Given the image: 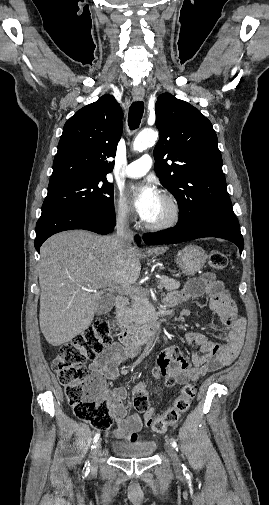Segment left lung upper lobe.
Here are the masks:
<instances>
[{
    "label": "left lung upper lobe",
    "mask_w": 269,
    "mask_h": 505,
    "mask_svg": "<svg viewBox=\"0 0 269 505\" xmlns=\"http://www.w3.org/2000/svg\"><path fill=\"white\" fill-rule=\"evenodd\" d=\"M155 111L160 131L154 149L155 171L178 202L177 225H191L215 211L233 212L211 122L170 93L158 97Z\"/></svg>",
    "instance_id": "5c2ea615"
}]
</instances>
